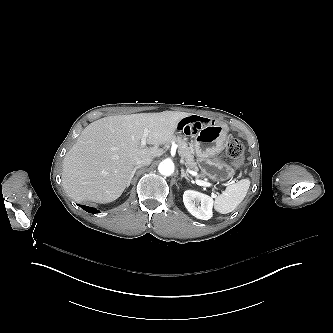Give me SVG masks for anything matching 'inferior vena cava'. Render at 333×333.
Here are the masks:
<instances>
[{
    "instance_id": "obj_1",
    "label": "inferior vena cava",
    "mask_w": 333,
    "mask_h": 333,
    "mask_svg": "<svg viewBox=\"0 0 333 333\" xmlns=\"http://www.w3.org/2000/svg\"><path fill=\"white\" fill-rule=\"evenodd\" d=\"M152 158L151 157H144L137 161V166H148L151 164Z\"/></svg>"
}]
</instances>
